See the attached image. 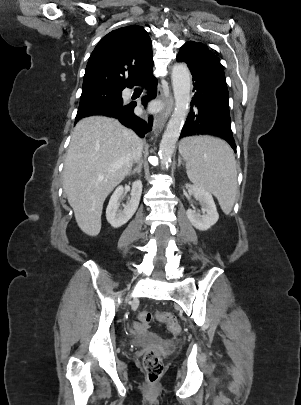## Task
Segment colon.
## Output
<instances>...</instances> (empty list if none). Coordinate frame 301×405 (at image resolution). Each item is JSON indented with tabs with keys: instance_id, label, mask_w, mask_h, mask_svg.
<instances>
[{
	"instance_id": "colon-1",
	"label": "colon",
	"mask_w": 301,
	"mask_h": 405,
	"mask_svg": "<svg viewBox=\"0 0 301 405\" xmlns=\"http://www.w3.org/2000/svg\"><path fill=\"white\" fill-rule=\"evenodd\" d=\"M138 319L144 325H149L155 319H157L159 322L166 323L172 333L178 334L180 332V325L178 321L174 316L168 313L159 312L152 314L150 312H141L138 315ZM142 365L145 370L148 383L153 385L163 373L164 364L161 355L156 350L147 351L143 356Z\"/></svg>"
}]
</instances>
